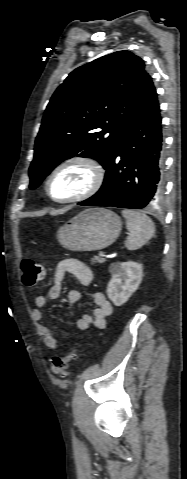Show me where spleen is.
<instances>
[{
    "label": "spleen",
    "mask_w": 187,
    "mask_h": 479,
    "mask_svg": "<svg viewBox=\"0 0 187 479\" xmlns=\"http://www.w3.org/2000/svg\"><path fill=\"white\" fill-rule=\"evenodd\" d=\"M126 227L130 232L126 248L130 251L141 248L155 234V226L150 217L140 211L125 209L122 211Z\"/></svg>",
    "instance_id": "1"
}]
</instances>
